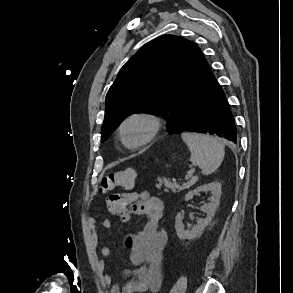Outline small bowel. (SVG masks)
<instances>
[{"label": "small bowel", "instance_id": "1", "mask_svg": "<svg viewBox=\"0 0 293 293\" xmlns=\"http://www.w3.org/2000/svg\"><path fill=\"white\" fill-rule=\"evenodd\" d=\"M107 207L125 223L134 216L146 219L138 233L125 237V244L130 248L132 267L126 268L123 274L134 278L123 283H112L111 277L107 275L105 283L111 287L110 293H157L163 281V251L167 243V234L160 225L164 209L162 200L145 190L129 191L109 196ZM87 222L91 232V247L96 251L99 247L98 228L111 229L112 224L107 219L95 217H90ZM101 253L109 257L111 248L103 246Z\"/></svg>", "mask_w": 293, "mask_h": 293}]
</instances>
